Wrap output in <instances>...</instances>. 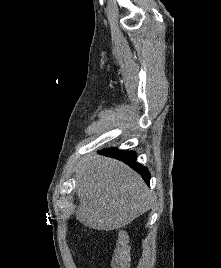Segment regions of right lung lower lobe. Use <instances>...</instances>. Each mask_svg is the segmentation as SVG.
<instances>
[{"instance_id":"right-lung-lower-lobe-1","label":"right lung lower lobe","mask_w":221,"mask_h":268,"mask_svg":"<svg viewBox=\"0 0 221 268\" xmlns=\"http://www.w3.org/2000/svg\"><path fill=\"white\" fill-rule=\"evenodd\" d=\"M100 153L125 162L135 171H137L143 177L145 182L149 185L150 173L146 167L136 163L137 155L135 152H125L118 149H103L100 151Z\"/></svg>"}]
</instances>
